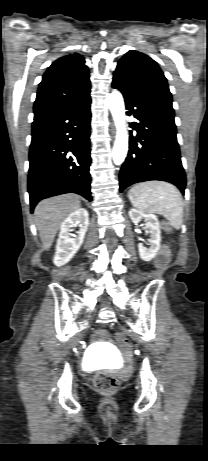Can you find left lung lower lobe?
Masks as SVG:
<instances>
[{
    "label": "left lung lower lobe",
    "mask_w": 208,
    "mask_h": 461,
    "mask_svg": "<svg viewBox=\"0 0 208 461\" xmlns=\"http://www.w3.org/2000/svg\"><path fill=\"white\" fill-rule=\"evenodd\" d=\"M112 87L124 96L127 115L136 121L130 127L128 156L120 170V192L144 181L162 180L185 192L186 175L176 137L172 101L135 92L113 78Z\"/></svg>",
    "instance_id": "0a47b994"
}]
</instances>
